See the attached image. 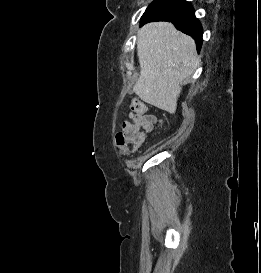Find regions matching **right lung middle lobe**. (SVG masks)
I'll return each instance as SVG.
<instances>
[{"label": "right lung middle lobe", "mask_w": 261, "mask_h": 273, "mask_svg": "<svg viewBox=\"0 0 261 273\" xmlns=\"http://www.w3.org/2000/svg\"><path fill=\"white\" fill-rule=\"evenodd\" d=\"M171 7L168 5L167 0H155L153 1L149 7L146 9L145 13L143 14L142 19L146 17L151 16H158L168 10H170Z\"/></svg>", "instance_id": "dd1d6c3e"}]
</instances>
